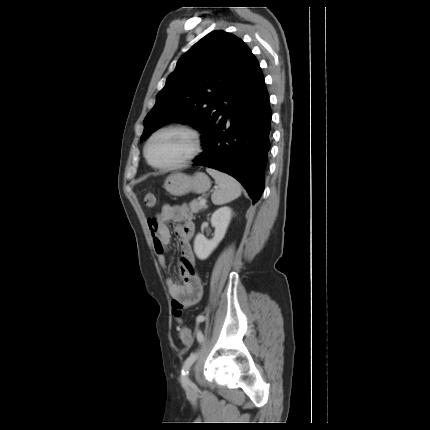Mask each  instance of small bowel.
<instances>
[{"instance_id":"obj_1","label":"small bowel","mask_w":430,"mask_h":430,"mask_svg":"<svg viewBox=\"0 0 430 430\" xmlns=\"http://www.w3.org/2000/svg\"><path fill=\"white\" fill-rule=\"evenodd\" d=\"M170 223H177L176 234L180 243V263L178 272L180 280L167 279V287L174 302V318L178 323L177 330L187 328L181 317V308L191 307L199 303L203 295V283L196 270L194 255L190 241L195 228L192 222V213L185 204L169 206L164 205L160 214L148 220L152 236L153 247L159 264L167 270L166 254L171 232ZM201 315L196 322L201 323Z\"/></svg>"}]
</instances>
